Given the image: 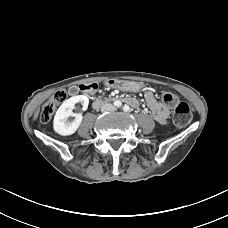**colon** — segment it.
I'll list each match as a JSON object with an SVG mask.
<instances>
[{"mask_svg":"<svg viewBox=\"0 0 228 228\" xmlns=\"http://www.w3.org/2000/svg\"><path fill=\"white\" fill-rule=\"evenodd\" d=\"M67 98V92L63 89L56 91L52 97L43 105L40 112V121L47 123L51 120L56 108ZM162 100L174 107L173 121L179 127L186 126L192 119V110L185 102H180L172 93H163Z\"/></svg>","mask_w":228,"mask_h":228,"instance_id":"obj_1","label":"colon"}]
</instances>
